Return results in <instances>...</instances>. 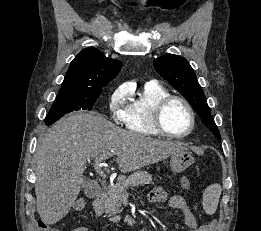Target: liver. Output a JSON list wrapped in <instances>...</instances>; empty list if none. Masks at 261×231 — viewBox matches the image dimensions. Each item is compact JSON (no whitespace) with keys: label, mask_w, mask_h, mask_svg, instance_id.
Wrapping results in <instances>:
<instances>
[{"label":"liver","mask_w":261,"mask_h":231,"mask_svg":"<svg viewBox=\"0 0 261 231\" xmlns=\"http://www.w3.org/2000/svg\"><path fill=\"white\" fill-rule=\"evenodd\" d=\"M185 144L123 130L97 113L74 112L39 138L34 156L37 212L49 225L64 218L87 181V161L115 151L118 169L131 172L185 150Z\"/></svg>","instance_id":"obj_1"}]
</instances>
